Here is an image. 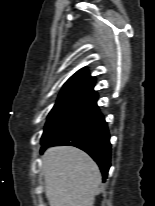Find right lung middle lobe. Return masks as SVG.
Returning <instances> with one entry per match:
<instances>
[{"mask_svg": "<svg viewBox=\"0 0 155 206\" xmlns=\"http://www.w3.org/2000/svg\"><path fill=\"white\" fill-rule=\"evenodd\" d=\"M97 93L92 89H62L49 113L42 138L49 136L97 107Z\"/></svg>", "mask_w": 155, "mask_h": 206, "instance_id": "right-lung-middle-lobe-1", "label": "right lung middle lobe"}]
</instances>
